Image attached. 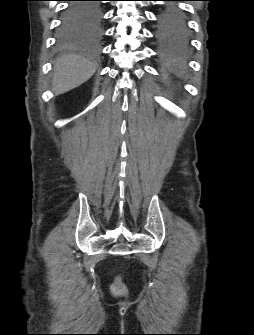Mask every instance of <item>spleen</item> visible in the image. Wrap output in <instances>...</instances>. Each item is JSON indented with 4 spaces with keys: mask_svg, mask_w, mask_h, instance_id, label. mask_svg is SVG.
<instances>
[{
    "mask_svg": "<svg viewBox=\"0 0 254 335\" xmlns=\"http://www.w3.org/2000/svg\"><path fill=\"white\" fill-rule=\"evenodd\" d=\"M166 65L168 69L173 70L178 75H182L183 71L177 69L178 65L175 61H169Z\"/></svg>",
    "mask_w": 254,
    "mask_h": 335,
    "instance_id": "obj_1",
    "label": "spleen"
}]
</instances>
